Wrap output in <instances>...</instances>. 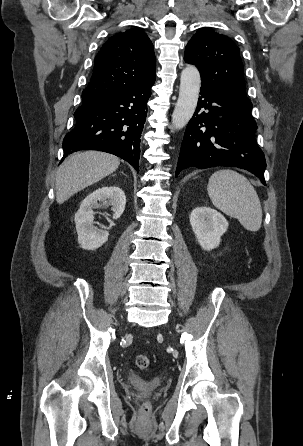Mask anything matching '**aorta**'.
I'll return each instance as SVG.
<instances>
[{
    "label": "aorta",
    "instance_id": "1",
    "mask_svg": "<svg viewBox=\"0 0 303 446\" xmlns=\"http://www.w3.org/2000/svg\"><path fill=\"white\" fill-rule=\"evenodd\" d=\"M201 78L195 66L188 65L181 72L179 97L172 114L174 129L185 127L192 118L200 92Z\"/></svg>",
    "mask_w": 303,
    "mask_h": 446
}]
</instances>
